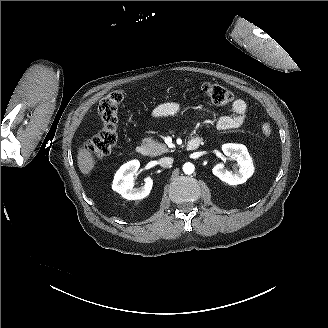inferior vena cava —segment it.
<instances>
[{
	"instance_id": "inferior-vena-cava-1",
	"label": "inferior vena cava",
	"mask_w": 328,
	"mask_h": 328,
	"mask_svg": "<svg viewBox=\"0 0 328 328\" xmlns=\"http://www.w3.org/2000/svg\"><path fill=\"white\" fill-rule=\"evenodd\" d=\"M174 159L172 157H163L159 160V165L161 167H168L173 163Z\"/></svg>"
}]
</instances>
